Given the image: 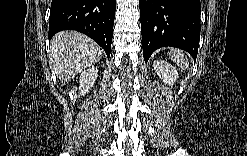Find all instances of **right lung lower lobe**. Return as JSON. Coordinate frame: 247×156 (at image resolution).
Here are the masks:
<instances>
[{"label":"right lung lower lobe","instance_id":"98d812e1","mask_svg":"<svg viewBox=\"0 0 247 156\" xmlns=\"http://www.w3.org/2000/svg\"><path fill=\"white\" fill-rule=\"evenodd\" d=\"M116 0H52L49 39L62 30H76L97 42L110 56Z\"/></svg>","mask_w":247,"mask_h":156}]
</instances>
